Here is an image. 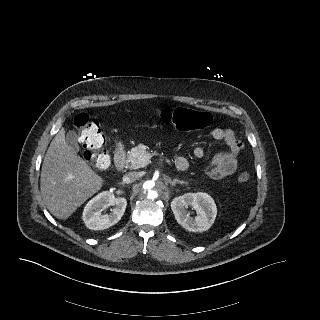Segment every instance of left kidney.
<instances>
[{
	"mask_svg": "<svg viewBox=\"0 0 320 320\" xmlns=\"http://www.w3.org/2000/svg\"><path fill=\"white\" fill-rule=\"evenodd\" d=\"M194 209L197 216L192 217L187 210ZM171 209L177 222L190 232L208 230L215 221L217 208L214 200L206 193H186L171 202Z\"/></svg>",
	"mask_w": 320,
	"mask_h": 320,
	"instance_id": "obj_1",
	"label": "left kidney"
}]
</instances>
